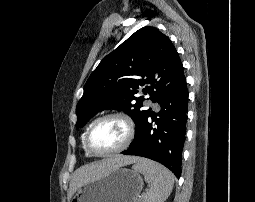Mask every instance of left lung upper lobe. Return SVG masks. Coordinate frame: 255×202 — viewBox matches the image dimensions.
Here are the masks:
<instances>
[{"label": "left lung upper lobe", "mask_w": 255, "mask_h": 202, "mask_svg": "<svg viewBox=\"0 0 255 202\" xmlns=\"http://www.w3.org/2000/svg\"><path fill=\"white\" fill-rule=\"evenodd\" d=\"M185 79L171 40L154 27H143L104 57L84 86L76 107V126L105 109L123 110L140 130L151 109L143 95L157 102Z\"/></svg>", "instance_id": "obj_1"}]
</instances>
